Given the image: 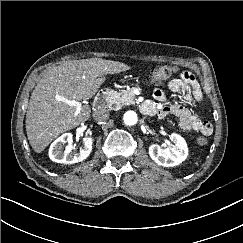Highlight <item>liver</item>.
Returning <instances> with one entry per match:
<instances>
[{
	"instance_id": "1",
	"label": "liver",
	"mask_w": 243,
	"mask_h": 243,
	"mask_svg": "<svg viewBox=\"0 0 243 243\" xmlns=\"http://www.w3.org/2000/svg\"><path fill=\"white\" fill-rule=\"evenodd\" d=\"M129 66L101 58L69 60L48 69L33 90L26 113V132L35 152H42L61 133L90 117V106L78 110L65 100H88L105 81L104 75Z\"/></svg>"
}]
</instances>
